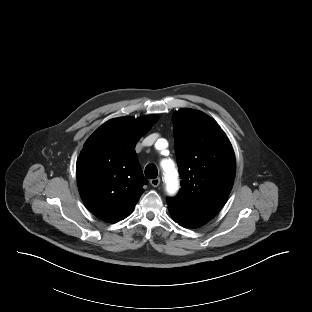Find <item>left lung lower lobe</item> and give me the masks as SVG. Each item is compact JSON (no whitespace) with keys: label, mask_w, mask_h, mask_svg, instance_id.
Masks as SVG:
<instances>
[{"label":"left lung lower lobe","mask_w":312,"mask_h":312,"mask_svg":"<svg viewBox=\"0 0 312 312\" xmlns=\"http://www.w3.org/2000/svg\"><path fill=\"white\" fill-rule=\"evenodd\" d=\"M172 218L177 222L179 223L180 225L182 226H185V227H189V228H195V227H198L200 226V224H197V223H194L190 220H187V219H184V218H180L178 217L177 215H174L172 213H170Z\"/></svg>","instance_id":"0a47b994"}]
</instances>
